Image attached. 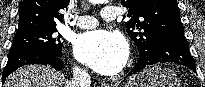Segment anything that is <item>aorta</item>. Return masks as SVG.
Segmentation results:
<instances>
[{
  "label": "aorta",
  "instance_id": "1",
  "mask_svg": "<svg viewBox=\"0 0 205 87\" xmlns=\"http://www.w3.org/2000/svg\"><path fill=\"white\" fill-rule=\"evenodd\" d=\"M105 0H89L90 3L92 4H101L103 3Z\"/></svg>",
  "mask_w": 205,
  "mask_h": 87
}]
</instances>
